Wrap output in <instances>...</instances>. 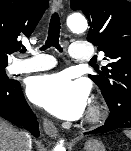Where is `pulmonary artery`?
Returning a JSON list of instances; mask_svg holds the SVG:
<instances>
[{
    "mask_svg": "<svg viewBox=\"0 0 131 151\" xmlns=\"http://www.w3.org/2000/svg\"><path fill=\"white\" fill-rule=\"evenodd\" d=\"M30 59L19 60L12 65L14 73H29L52 68L55 65L53 57L45 54L32 52ZM70 56L76 61H89L93 56V50L88 42L78 41L70 46Z\"/></svg>",
    "mask_w": 131,
    "mask_h": 151,
    "instance_id": "1",
    "label": "pulmonary artery"
}]
</instances>
